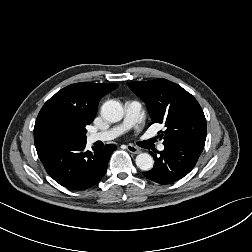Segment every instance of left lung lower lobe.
I'll list each match as a JSON object with an SVG mask.
<instances>
[{
	"label": "left lung lower lobe",
	"mask_w": 252,
	"mask_h": 252,
	"mask_svg": "<svg viewBox=\"0 0 252 252\" xmlns=\"http://www.w3.org/2000/svg\"><path fill=\"white\" fill-rule=\"evenodd\" d=\"M202 150L189 144L165 146L163 151L158 152L160 156L152 153L155 160L154 167L143 174L159 184L173 183L193 169Z\"/></svg>",
	"instance_id": "obj_1"
}]
</instances>
